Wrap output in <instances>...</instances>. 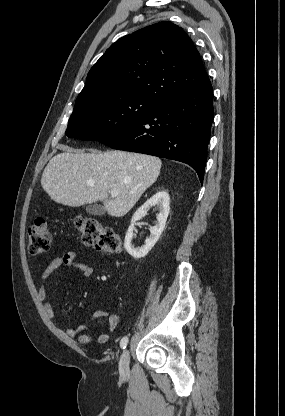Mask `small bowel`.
I'll list each match as a JSON object with an SVG mask.
<instances>
[{
    "instance_id": "1",
    "label": "small bowel",
    "mask_w": 285,
    "mask_h": 416,
    "mask_svg": "<svg viewBox=\"0 0 285 416\" xmlns=\"http://www.w3.org/2000/svg\"><path fill=\"white\" fill-rule=\"evenodd\" d=\"M77 270L84 277H89L93 273V267L90 264L79 262L75 258L73 252L64 253L62 256L56 257L42 272L40 286L38 289V297L43 305L45 314L49 319L55 321V311L52 304L47 299L50 279L53 274L59 269ZM107 319V332L101 333L96 337V342L105 344L109 340V333L112 332L118 324V317L114 314H109L106 311H96L94 319ZM61 331L72 339H77L80 344H89L93 341V337L88 333L91 324L86 323L77 327H64L58 325Z\"/></svg>"
}]
</instances>
